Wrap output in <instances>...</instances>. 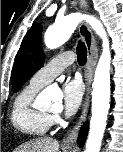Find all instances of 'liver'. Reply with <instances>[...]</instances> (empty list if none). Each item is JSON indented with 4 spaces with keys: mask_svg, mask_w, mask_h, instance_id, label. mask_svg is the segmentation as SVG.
Wrapping results in <instances>:
<instances>
[{
    "mask_svg": "<svg viewBox=\"0 0 123 152\" xmlns=\"http://www.w3.org/2000/svg\"><path fill=\"white\" fill-rule=\"evenodd\" d=\"M14 152H59V143L50 137H41L25 143Z\"/></svg>",
    "mask_w": 123,
    "mask_h": 152,
    "instance_id": "6515ba94",
    "label": "liver"
}]
</instances>
